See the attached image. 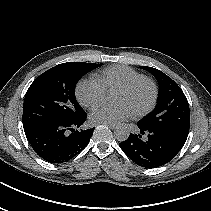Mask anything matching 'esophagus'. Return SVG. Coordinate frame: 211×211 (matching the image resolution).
Instances as JSON below:
<instances>
[{
  "mask_svg": "<svg viewBox=\"0 0 211 211\" xmlns=\"http://www.w3.org/2000/svg\"><path fill=\"white\" fill-rule=\"evenodd\" d=\"M104 125L108 126L111 129H116L117 126L115 124H111V123H103Z\"/></svg>",
  "mask_w": 211,
  "mask_h": 211,
  "instance_id": "1",
  "label": "esophagus"
}]
</instances>
